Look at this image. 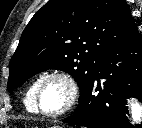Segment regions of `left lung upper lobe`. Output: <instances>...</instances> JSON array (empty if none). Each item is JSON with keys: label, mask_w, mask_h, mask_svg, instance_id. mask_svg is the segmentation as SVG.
<instances>
[{"label": "left lung upper lobe", "mask_w": 142, "mask_h": 128, "mask_svg": "<svg viewBox=\"0 0 142 128\" xmlns=\"http://www.w3.org/2000/svg\"><path fill=\"white\" fill-rule=\"evenodd\" d=\"M136 32L125 0H49L21 35L8 91L36 73L58 69L75 78L81 96L105 53Z\"/></svg>", "instance_id": "5c2ea615"}]
</instances>
